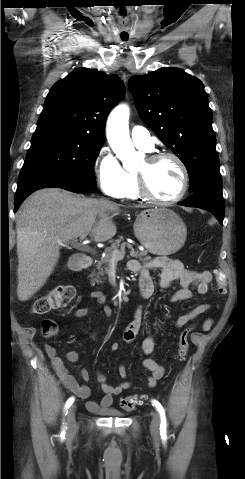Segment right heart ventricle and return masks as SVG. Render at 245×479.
Listing matches in <instances>:
<instances>
[{
  "mask_svg": "<svg viewBox=\"0 0 245 479\" xmlns=\"http://www.w3.org/2000/svg\"><path fill=\"white\" fill-rule=\"evenodd\" d=\"M126 173V184L122 190L120 198L126 199H139L142 198L139 194L137 187V174L136 172L125 171Z\"/></svg>",
  "mask_w": 245,
  "mask_h": 479,
  "instance_id": "right-heart-ventricle-1",
  "label": "right heart ventricle"
}]
</instances>
